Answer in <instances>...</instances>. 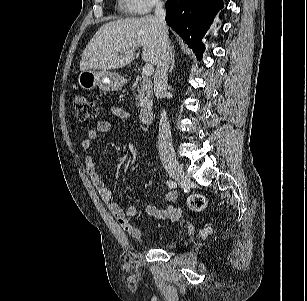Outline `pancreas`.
Masks as SVG:
<instances>
[{"label": "pancreas", "mask_w": 307, "mask_h": 301, "mask_svg": "<svg viewBox=\"0 0 307 301\" xmlns=\"http://www.w3.org/2000/svg\"><path fill=\"white\" fill-rule=\"evenodd\" d=\"M137 80L139 81V85L136 87V105H139L141 100L150 99L152 94V83L150 78L145 75L138 77Z\"/></svg>", "instance_id": "cf45deb5"}]
</instances>
